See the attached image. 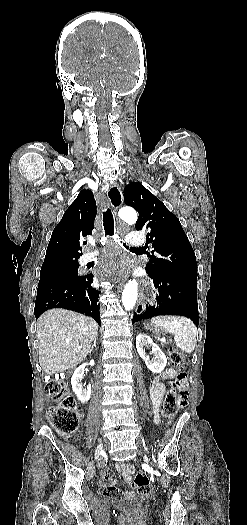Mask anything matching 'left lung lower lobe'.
<instances>
[{
    "instance_id": "obj_1",
    "label": "left lung lower lobe",
    "mask_w": 247,
    "mask_h": 525,
    "mask_svg": "<svg viewBox=\"0 0 247 525\" xmlns=\"http://www.w3.org/2000/svg\"><path fill=\"white\" fill-rule=\"evenodd\" d=\"M158 296L156 306H146L133 316L132 323L160 315H179L191 318L198 327L197 280L149 274Z\"/></svg>"
}]
</instances>
